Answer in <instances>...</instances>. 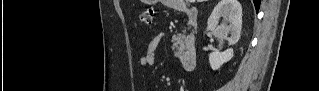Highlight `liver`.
<instances>
[{"label": "liver", "instance_id": "6515ba94", "mask_svg": "<svg viewBox=\"0 0 319 91\" xmlns=\"http://www.w3.org/2000/svg\"><path fill=\"white\" fill-rule=\"evenodd\" d=\"M199 2H202V1H204V0H198Z\"/></svg>", "mask_w": 319, "mask_h": 91}]
</instances>
